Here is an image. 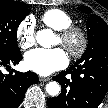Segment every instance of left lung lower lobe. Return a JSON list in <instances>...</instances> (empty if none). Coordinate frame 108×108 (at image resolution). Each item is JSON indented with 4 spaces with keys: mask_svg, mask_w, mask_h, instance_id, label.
<instances>
[{
    "mask_svg": "<svg viewBox=\"0 0 108 108\" xmlns=\"http://www.w3.org/2000/svg\"><path fill=\"white\" fill-rule=\"evenodd\" d=\"M53 80L59 82L62 91L47 101L48 108H97L108 91V64L73 65ZM71 89L76 90V98L67 101Z\"/></svg>",
    "mask_w": 108,
    "mask_h": 108,
    "instance_id": "obj_1",
    "label": "left lung lower lobe"
}]
</instances>
